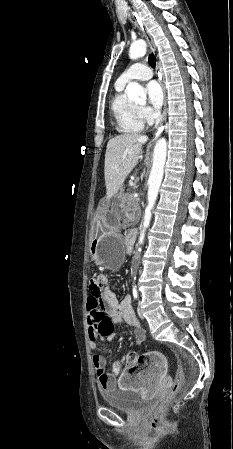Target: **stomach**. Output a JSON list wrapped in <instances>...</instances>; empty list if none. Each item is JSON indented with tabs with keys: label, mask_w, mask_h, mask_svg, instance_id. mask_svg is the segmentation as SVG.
Here are the masks:
<instances>
[{
	"label": "stomach",
	"mask_w": 233,
	"mask_h": 449,
	"mask_svg": "<svg viewBox=\"0 0 233 449\" xmlns=\"http://www.w3.org/2000/svg\"><path fill=\"white\" fill-rule=\"evenodd\" d=\"M118 203L116 201H99V210H116ZM93 220L98 221L97 239L90 243V253L92 258L101 265L110 270H117L124 255V246L122 240L115 233L119 212H94Z\"/></svg>",
	"instance_id": "stomach-1"
}]
</instances>
